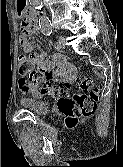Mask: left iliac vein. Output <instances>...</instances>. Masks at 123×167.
<instances>
[{
  "instance_id": "left-iliac-vein-1",
  "label": "left iliac vein",
  "mask_w": 123,
  "mask_h": 167,
  "mask_svg": "<svg viewBox=\"0 0 123 167\" xmlns=\"http://www.w3.org/2000/svg\"><path fill=\"white\" fill-rule=\"evenodd\" d=\"M57 43L59 45V48H65V38L64 37L60 36L58 38V42Z\"/></svg>"
}]
</instances>
